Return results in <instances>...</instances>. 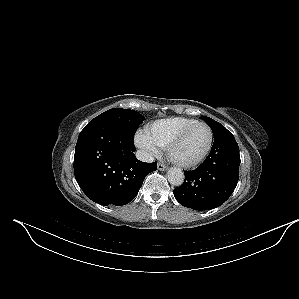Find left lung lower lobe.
Returning a JSON list of instances; mask_svg holds the SVG:
<instances>
[{
    "mask_svg": "<svg viewBox=\"0 0 299 299\" xmlns=\"http://www.w3.org/2000/svg\"><path fill=\"white\" fill-rule=\"evenodd\" d=\"M240 155L238 144L227 129L214 135V143L205 161L193 171H185L182 186L174 189L177 201L194 210L221 206L238 183Z\"/></svg>",
    "mask_w": 299,
    "mask_h": 299,
    "instance_id": "0a47b994",
    "label": "left lung lower lobe"
}]
</instances>
